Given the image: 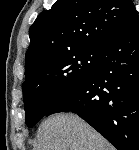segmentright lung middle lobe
Wrapping results in <instances>:
<instances>
[{"instance_id": "dd1d6c3e", "label": "right lung middle lobe", "mask_w": 139, "mask_h": 150, "mask_svg": "<svg viewBox=\"0 0 139 150\" xmlns=\"http://www.w3.org/2000/svg\"><path fill=\"white\" fill-rule=\"evenodd\" d=\"M102 49L58 55L26 75L23 83L25 122L33 127L67 93L93 71Z\"/></svg>"}]
</instances>
